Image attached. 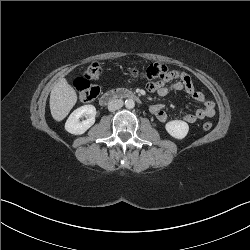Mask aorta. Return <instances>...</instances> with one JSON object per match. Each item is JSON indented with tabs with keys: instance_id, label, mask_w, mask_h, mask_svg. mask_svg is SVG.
Here are the masks:
<instances>
[{
	"instance_id": "1",
	"label": "aorta",
	"mask_w": 250,
	"mask_h": 250,
	"mask_svg": "<svg viewBox=\"0 0 250 250\" xmlns=\"http://www.w3.org/2000/svg\"><path fill=\"white\" fill-rule=\"evenodd\" d=\"M125 106H126L127 109H132V108H134V107H135V102H134V100H133V99H127V100L125 101Z\"/></svg>"
}]
</instances>
